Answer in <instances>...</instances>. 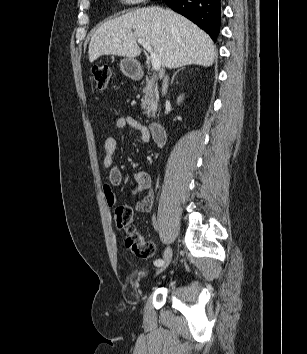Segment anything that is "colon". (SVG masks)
I'll return each instance as SVG.
<instances>
[{
  "label": "colon",
  "mask_w": 307,
  "mask_h": 354,
  "mask_svg": "<svg viewBox=\"0 0 307 354\" xmlns=\"http://www.w3.org/2000/svg\"><path fill=\"white\" fill-rule=\"evenodd\" d=\"M111 70L107 65H96L92 75L98 89L103 90L109 82ZM114 221L118 228L127 232L126 247L137 257L148 259L154 255V244L136 232L133 225V210L130 206H119L114 211Z\"/></svg>",
  "instance_id": "1"
}]
</instances>
